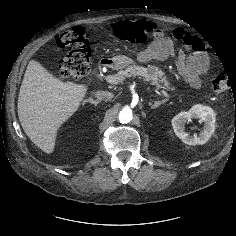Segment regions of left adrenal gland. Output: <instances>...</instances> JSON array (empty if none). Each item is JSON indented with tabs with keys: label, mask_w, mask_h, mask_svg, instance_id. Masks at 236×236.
Listing matches in <instances>:
<instances>
[{
	"label": "left adrenal gland",
	"mask_w": 236,
	"mask_h": 236,
	"mask_svg": "<svg viewBox=\"0 0 236 236\" xmlns=\"http://www.w3.org/2000/svg\"><path fill=\"white\" fill-rule=\"evenodd\" d=\"M168 101V98L162 100V101H155L154 104L153 103H149V105L151 106V109H156L158 108L160 105L166 103Z\"/></svg>",
	"instance_id": "obj_1"
}]
</instances>
